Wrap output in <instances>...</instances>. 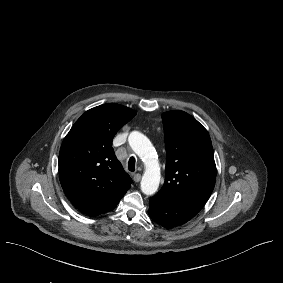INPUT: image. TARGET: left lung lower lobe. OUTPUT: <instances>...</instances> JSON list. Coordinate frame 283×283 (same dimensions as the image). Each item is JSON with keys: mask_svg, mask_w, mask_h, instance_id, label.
<instances>
[{"mask_svg": "<svg viewBox=\"0 0 283 283\" xmlns=\"http://www.w3.org/2000/svg\"><path fill=\"white\" fill-rule=\"evenodd\" d=\"M202 207L173 200L161 194L150 198L149 216L163 227L171 228L182 225L193 218Z\"/></svg>", "mask_w": 283, "mask_h": 283, "instance_id": "obj_1", "label": "left lung lower lobe"}]
</instances>
